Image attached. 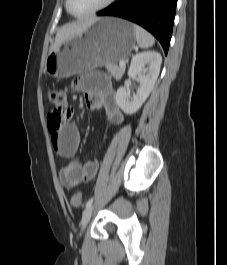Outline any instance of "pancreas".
I'll list each match as a JSON object with an SVG mask.
<instances>
[{"label":"pancreas","mask_w":227,"mask_h":265,"mask_svg":"<svg viewBox=\"0 0 227 265\" xmlns=\"http://www.w3.org/2000/svg\"><path fill=\"white\" fill-rule=\"evenodd\" d=\"M108 72L115 77L116 79H120L122 77V75L124 74L125 71V66L121 67V66H117V65H113V64H108L106 66Z\"/></svg>","instance_id":"obj_1"}]
</instances>
